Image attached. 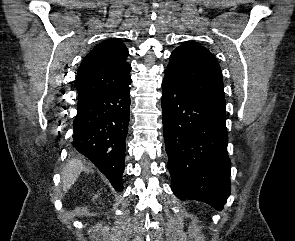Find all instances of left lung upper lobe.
Masks as SVG:
<instances>
[{
	"instance_id": "5c2ea615",
	"label": "left lung upper lobe",
	"mask_w": 295,
	"mask_h": 241,
	"mask_svg": "<svg viewBox=\"0 0 295 241\" xmlns=\"http://www.w3.org/2000/svg\"><path fill=\"white\" fill-rule=\"evenodd\" d=\"M165 73L188 92L226 109L222 72L215 56L196 42H186L170 56Z\"/></svg>"
}]
</instances>
